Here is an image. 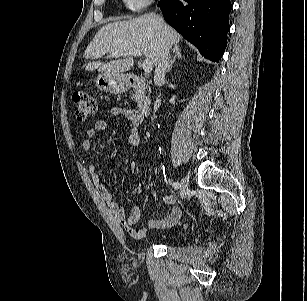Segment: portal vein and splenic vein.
<instances>
[{"label":"portal vein and splenic vein","mask_w":307,"mask_h":301,"mask_svg":"<svg viewBox=\"0 0 307 301\" xmlns=\"http://www.w3.org/2000/svg\"><path fill=\"white\" fill-rule=\"evenodd\" d=\"M142 51L140 50H135V51H131V52H127V53H123V52H114L112 53L113 56L117 57V56H122V55H133V56H137V57H141L142 56ZM153 69V63L150 59H145L143 61V70L146 73H150Z\"/></svg>","instance_id":"portal-vein-and-splenic-vein-1"}]
</instances>
